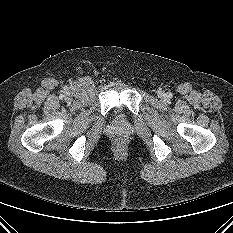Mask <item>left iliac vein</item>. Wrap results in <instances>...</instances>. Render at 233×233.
<instances>
[{
  "label": "left iliac vein",
  "mask_w": 233,
  "mask_h": 233,
  "mask_svg": "<svg viewBox=\"0 0 233 233\" xmlns=\"http://www.w3.org/2000/svg\"><path fill=\"white\" fill-rule=\"evenodd\" d=\"M160 97H162V98H163V97H164V94H163V93H161V94H160Z\"/></svg>",
  "instance_id": "1"
}]
</instances>
